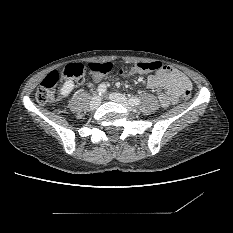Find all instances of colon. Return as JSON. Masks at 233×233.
Returning <instances> with one entry per match:
<instances>
[{
	"instance_id": "1",
	"label": "colon",
	"mask_w": 233,
	"mask_h": 233,
	"mask_svg": "<svg viewBox=\"0 0 233 233\" xmlns=\"http://www.w3.org/2000/svg\"><path fill=\"white\" fill-rule=\"evenodd\" d=\"M160 69H162V64L158 61L138 62L131 66V70L144 73L155 72ZM113 70L114 68L109 64L91 63L83 65L81 63H73L69 64L65 68L64 74L70 78L78 79L83 82L85 71L103 76L112 73ZM60 78L61 74L58 71H52L42 80L35 94V99L39 104H49L54 100L53 89L59 82ZM182 97L184 100H189L191 97V91L188 89L184 90Z\"/></svg>"
}]
</instances>
